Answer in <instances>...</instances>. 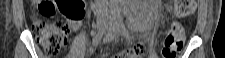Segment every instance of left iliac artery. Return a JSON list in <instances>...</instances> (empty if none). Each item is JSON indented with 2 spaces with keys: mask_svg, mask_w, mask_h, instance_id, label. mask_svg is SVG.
I'll return each instance as SVG.
<instances>
[{
  "mask_svg": "<svg viewBox=\"0 0 225 58\" xmlns=\"http://www.w3.org/2000/svg\"><path fill=\"white\" fill-rule=\"evenodd\" d=\"M117 27L119 29V31L123 34L126 35L128 32L126 30L125 25L123 24V22L121 21L120 18L117 17Z\"/></svg>",
  "mask_w": 225,
  "mask_h": 58,
  "instance_id": "1",
  "label": "left iliac artery"
}]
</instances>
